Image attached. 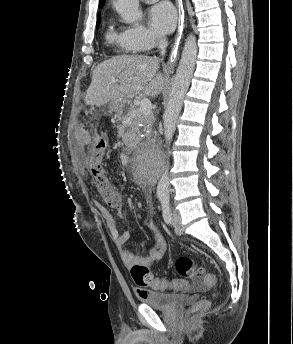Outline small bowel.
Listing matches in <instances>:
<instances>
[{
  "mask_svg": "<svg viewBox=\"0 0 293 344\" xmlns=\"http://www.w3.org/2000/svg\"><path fill=\"white\" fill-rule=\"evenodd\" d=\"M98 138L99 137H96L85 128L79 127L75 130V145L79 152H84L86 148L90 147ZM96 205L101 216L105 220L110 238L118 250L123 263L128 268H131L134 265H151L164 257L167 250V242L157 231L154 222H150L148 224V228L152 233L153 244L145 254H135L126 247V243L130 238L129 232L120 231L113 215L100 203H97ZM117 215L120 218H123L124 216L123 207L121 205L117 207ZM138 292L139 295L142 296L146 291L138 290Z\"/></svg>",
  "mask_w": 293,
  "mask_h": 344,
  "instance_id": "small-bowel-1",
  "label": "small bowel"
}]
</instances>
